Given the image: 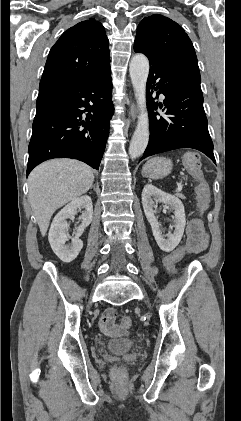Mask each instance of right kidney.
Returning a JSON list of instances; mask_svg holds the SVG:
<instances>
[{
    "label": "right kidney",
    "mask_w": 241,
    "mask_h": 421,
    "mask_svg": "<svg viewBox=\"0 0 241 421\" xmlns=\"http://www.w3.org/2000/svg\"><path fill=\"white\" fill-rule=\"evenodd\" d=\"M82 209V222L79 227H76L77 232L72 238L71 244L67 245V219L72 218ZM92 216V200L90 196L85 195L72 200L54 217L49 230L48 239L52 250L62 261L71 262L78 256L83 247V242L80 240V236L83 234L84 229L91 223Z\"/></svg>",
    "instance_id": "right-kidney-1"
}]
</instances>
